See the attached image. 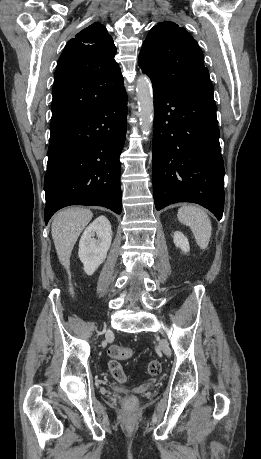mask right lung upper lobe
<instances>
[{"label":"right lung upper lobe","instance_id":"cb5924a9","mask_svg":"<svg viewBox=\"0 0 261 459\" xmlns=\"http://www.w3.org/2000/svg\"><path fill=\"white\" fill-rule=\"evenodd\" d=\"M115 54L112 37L99 23L66 44L54 76L51 126L68 125L124 88Z\"/></svg>","mask_w":261,"mask_h":459}]
</instances>
